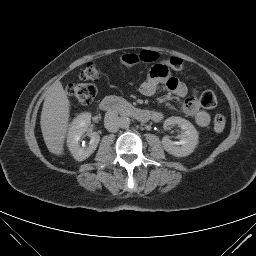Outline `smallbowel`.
Instances as JSON below:
<instances>
[{
  "label": "small bowel",
  "mask_w": 256,
  "mask_h": 256,
  "mask_svg": "<svg viewBox=\"0 0 256 256\" xmlns=\"http://www.w3.org/2000/svg\"><path fill=\"white\" fill-rule=\"evenodd\" d=\"M169 68L165 62L155 65L150 70L147 79L136 85L137 90L145 96H151L160 84L165 85L170 95L184 97L181 102V110L184 114L193 117L197 125L208 126L211 121L209 113L201 108L196 94L189 93L188 87L171 75ZM154 114L160 116L156 111Z\"/></svg>",
  "instance_id": "c3829d8e"
}]
</instances>
